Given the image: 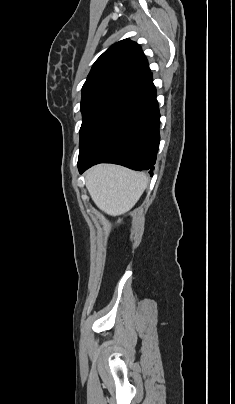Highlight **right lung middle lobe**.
Here are the masks:
<instances>
[{
  "label": "right lung middle lobe",
  "mask_w": 235,
  "mask_h": 404,
  "mask_svg": "<svg viewBox=\"0 0 235 404\" xmlns=\"http://www.w3.org/2000/svg\"><path fill=\"white\" fill-rule=\"evenodd\" d=\"M125 83H105L82 89L81 112L83 122L80 129V146L128 88Z\"/></svg>",
  "instance_id": "right-lung-middle-lobe-1"
}]
</instances>
